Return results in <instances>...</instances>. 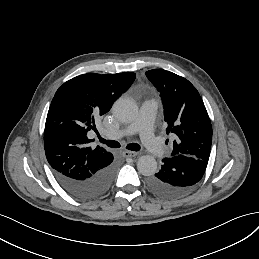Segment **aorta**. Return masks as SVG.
Listing matches in <instances>:
<instances>
[{"mask_svg": "<svg viewBox=\"0 0 259 259\" xmlns=\"http://www.w3.org/2000/svg\"><path fill=\"white\" fill-rule=\"evenodd\" d=\"M115 116L122 122H131L138 113L136 102L128 97H120L113 106ZM137 169L144 176H152L157 171V162L153 156L143 155L137 161Z\"/></svg>", "mask_w": 259, "mask_h": 259, "instance_id": "aorta-1", "label": "aorta"}]
</instances>
